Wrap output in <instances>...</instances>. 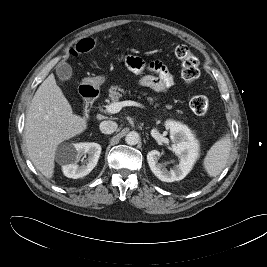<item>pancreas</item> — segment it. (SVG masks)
Instances as JSON below:
<instances>
[{"instance_id": "obj_1", "label": "pancreas", "mask_w": 267, "mask_h": 267, "mask_svg": "<svg viewBox=\"0 0 267 267\" xmlns=\"http://www.w3.org/2000/svg\"><path fill=\"white\" fill-rule=\"evenodd\" d=\"M126 91L118 86H111L110 89H109V99L113 102H117L121 97H122V94H125ZM150 102H152V98L149 97L148 98ZM107 102L109 100H106ZM172 106L170 105H167L166 108L167 109H170ZM178 113H181L180 111H178Z\"/></svg>"}]
</instances>
